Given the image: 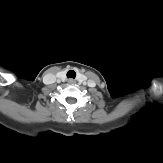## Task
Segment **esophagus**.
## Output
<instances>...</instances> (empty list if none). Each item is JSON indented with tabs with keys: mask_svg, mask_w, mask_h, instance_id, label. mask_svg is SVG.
<instances>
[{
	"mask_svg": "<svg viewBox=\"0 0 163 163\" xmlns=\"http://www.w3.org/2000/svg\"><path fill=\"white\" fill-rule=\"evenodd\" d=\"M69 83H71V84H72V83H73V81H72V80H70V81H69Z\"/></svg>",
	"mask_w": 163,
	"mask_h": 163,
	"instance_id": "34e87169",
	"label": "esophagus"
}]
</instances>
